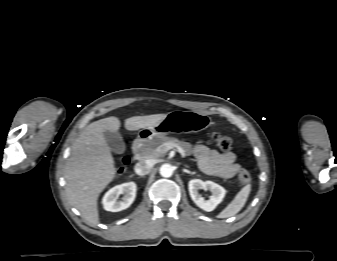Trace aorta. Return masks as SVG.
<instances>
[{
    "label": "aorta",
    "mask_w": 337,
    "mask_h": 261,
    "mask_svg": "<svg viewBox=\"0 0 337 261\" xmlns=\"http://www.w3.org/2000/svg\"><path fill=\"white\" fill-rule=\"evenodd\" d=\"M173 174V167L170 164H163L160 167V175L163 177H171Z\"/></svg>",
    "instance_id": "762f6f07"
}]
</instances>
